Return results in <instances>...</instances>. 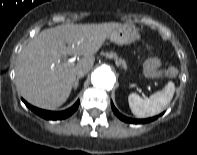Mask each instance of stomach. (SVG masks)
<instances>
[{"mask_svg":"<svg viewBox=\"0 0 197 155\" xmlns=\"http://www.w3.org/2000/svg\"><path fill=\"white\" fill-rule=\"evenodd\" d=\"M110 40L119 45L131 44L140 39L139 31L132 25L125 24L115 29L109 36Z\"/></svg>","mask_w":197,"mask_h":155,"instance_id":"stomach-1","label":"stomach"}]
</instances>
